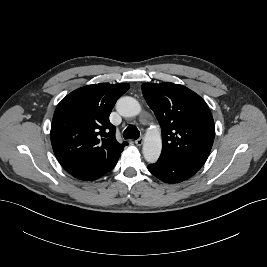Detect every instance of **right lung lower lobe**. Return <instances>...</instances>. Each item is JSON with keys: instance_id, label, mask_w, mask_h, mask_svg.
I'll use <instances>...</instances> for the list:
<instances>
[{"instance_id": "right-lung-lower-lobe-1", "label": "right lung lower lobe", "mask_w": 267, "mask_h": 267, "mask_svg": "<svg viewBox=\"0 0 267 267\" xmlns=\"http://www.w3.org/2000/svg\"><path fill=\"white\" fill-rule=\"evenodd\" d=\"M117 163V162H116ZM116 163L114 165H112L108 171H106L105 173L109 172L110 170H112L114 168V166L116 165ZM104 173V174H105ZM104 174H102L101 176H103ZM74 177L78 178V179H81V180H95V179H98L100 178L101 176H96V177H92V178H88V177H84V176H76V175H73Z\"/></svg>"}]
</instances>
